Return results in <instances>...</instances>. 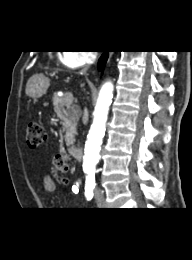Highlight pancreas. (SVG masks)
Instances as JSON below:
<instances>
[{
	"label": "pancreas",
	"mask_w": 192,
	"mask_h": 260,
	"mask_svg": "<svg viewBox=\"0 0 192 260\" xmlns=\"http://www.w3.org/2000/svg\"><path fill=\"white\" fill-rule=\"evenodd\" d=\"M53 105L57 117L62 121L66 145H71L75 141L76 127L81 116L80 109L76 105H68L65 97H59L58 95H54Z\"/></svg>",
	"instance_id": "obj_1"
}]
</instances>
